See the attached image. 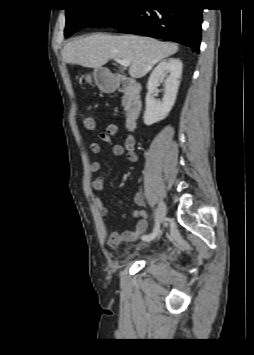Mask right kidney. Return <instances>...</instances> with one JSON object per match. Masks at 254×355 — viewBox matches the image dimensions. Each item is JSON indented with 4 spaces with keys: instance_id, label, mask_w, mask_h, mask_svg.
<instances>
[{
    "instance_id": "ca27d5eb",
    "label": "right kidney",
    "mask_w": 254,
    "mask_h": 355,
    "mask_svg": "<svg viewBox=\"0 0 254 355\" xmlns=\"http://www.w3.org/2000/svg\"><path fill=\"white\" fill-rule=\"evenodd\" d=\"M182 67L180 59L168 58L161 61L152 71L148 80V92L145 98L146 109L143 120L146 125L149 126L163 120L171 111L176 101ZM166 73H169L164 82L166 92L162 100H157L153 94L159 86L160 79Z\"/></svg>"
}]
</instances>
